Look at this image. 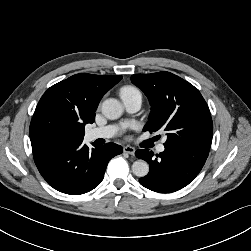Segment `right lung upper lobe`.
<instances>
[{
  "label": "right lung upper lobe",
  "instance_id": "1",
  "mask_svg": "<svg viewBox=\"0 0 251 251\" xmlns=\"http://www.w3.org/2000/svg\"><path fill=\"white\" fill-rule=\"evenodd\" d=\"M121 79L79 73L51 86L41 97L30 123L32 149L82 142L85 124L95 121L101 98Z\"/></svg>",
  "mask_w": 251,
  "mask_h": 251
}]
</instances>
